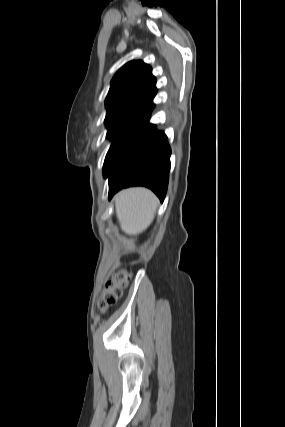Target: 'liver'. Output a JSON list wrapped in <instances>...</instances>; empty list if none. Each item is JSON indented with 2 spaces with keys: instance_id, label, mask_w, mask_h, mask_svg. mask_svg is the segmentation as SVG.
<instances>
[{
  "instance_id": "6515ba94",
  "label": "liver",
  "mask_w": 285,
  "mask_h": 427,
  "mask_svg": "<svg viewBox=\"0 0 285 427\" xmlns=\"http://www.w3.org/2000/svg\"><path fill=\"white\" fill-rule=\"evenodd\" d=\"M158 199L146 188H129L115 196L116 215L121 229L128 235L146 230L154 219Z\"/></svg>"
}]
</instances>
